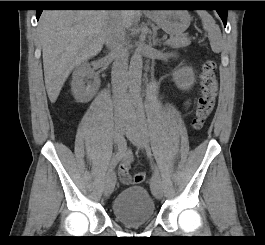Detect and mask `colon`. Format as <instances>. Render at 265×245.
<instances>
[{"mask_svg": "<svg viewBox=\"0 0 265 245\" xmlns=\"http://www.w3.org/2000/svg\"><path fill=\"white\" fill-rule=\"evenodd\" d=\"M216 69V62L211 59H205L201 64L200 95L197 100V106L193 118V127L196 130L204 125L215 110L219 90ZM144 180V173L140 172L133 175V182L135 184H140Z\"/></svg>", "mask_w": 265, "mask_h": 245, "instance_id": "colon-1", "label": "colon"}]
</instances>
